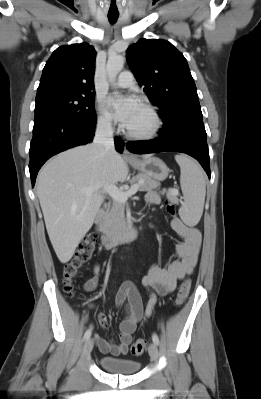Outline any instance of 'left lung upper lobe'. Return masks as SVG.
Instances as JSON below:
<instances>
[{"instance_id": "obj_1", "label": "left lung upper lobe", "mask_w": 261, "mask_h": 399, "mask_svg": "<svg viewBox=\"0 0 261 399\" xmlns=\"http://www.w3.org/2000/svg\"><path fill=\"white\" fill-rule=\"evenodd\" d=\"M127 60L139 85L160 109L166 133L202 118L197 89L187 60L166 40L141 39L127 49Z\"/></svg>"}]
</instances>
